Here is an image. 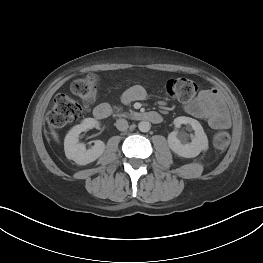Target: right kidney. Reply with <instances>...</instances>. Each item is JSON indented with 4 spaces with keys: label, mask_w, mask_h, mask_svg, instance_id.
I'll use <instances>...</instances> for the list:
<instances>
[{
    "label": "right kidney",
    "mask_w": 263,
    "mask_h": 263,
    "mask_svg": "<svg viewBox=\"0 0 263 263\" xmlns=\"http://www.w3.org/2000/svg\"><path fill=\"white\" fill-rule=\"evenodd\" d=\"M98 125L93 118H86L81 124L74 126L66 135L64 140L65 155L68 159L79 165L89 164L98 159L105 150L104 142L97 140L95 145L86 150L83 143H78L79 134L85 130L92 129Z\"/></svg>",
    "instance_id": "ca27d5eb"
}]
</instances>
